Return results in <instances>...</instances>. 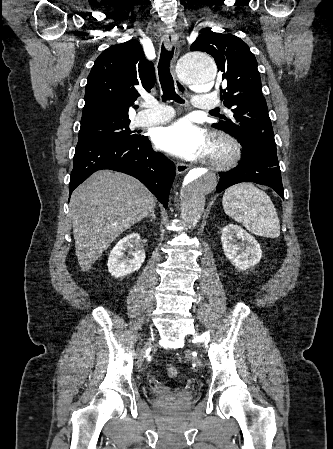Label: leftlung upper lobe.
Wrapping results in <instances>:
<instances>
[{"label": "left lung upper lobe", "instance_id": "5c2ea615", "mask_svg": "<svg viewBox=\"0 0 333 449\" xmlns=\"http://www.w3.org/2000/svg\"><path fill=\"white\" fill-rule=\"evenodd\" d=\"M190 49L210 54L223 73L221 99L233 115L220 116L213 127L235 137L247 155L278 159L257 61L248 45L232 34L204 29Z\"/></svg>", "mask_w": 333, "mask_h": 449}]
</instances>
